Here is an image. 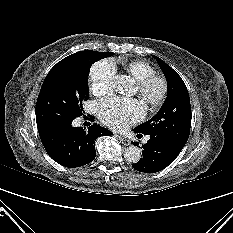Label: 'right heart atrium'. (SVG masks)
<instances>
[{
  "label": "right heart atrium",
  "mask_w": 233,
  "mask_h": 233,
  "mask_svg": "<svg viewBox=\"0 0 233 233\" xmlns=\"http://www.w3.org/2000/svg\"><path fill=\"white\" fill-rule=\"evenodd\" d=\"M116 71L115 64L108 59L96 62L89 74L93 94L101 96L108 93L112 89Z\"/></svg>",
  "instance_id": "d8ad5b80"
}]
</instances>
